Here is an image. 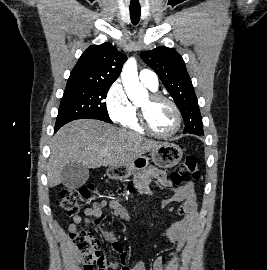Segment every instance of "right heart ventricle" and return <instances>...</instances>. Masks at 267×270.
<instances>
[{
	"label": "right heart ventricle",
	"mask_w": 267,
	"mask_h": 270,
	"mask_svg": "<svg viewBox=\"0 0 267 270\" xmlns=\"http://www.w3.org/2000/svg\"><path fill=\"white\" fill-rule=\"evenodd\" d=\"M147 86V85H146ZM151 91L155 92L157 89H153L149 86H147ZM124 128L139 133V134H145L146 132L141 127L138 119V108L136 105H132V112L131 115L121 123Z\"/></svg>",
	"instance_id": "right-heart-ventricle-1"
}]
</instances>
